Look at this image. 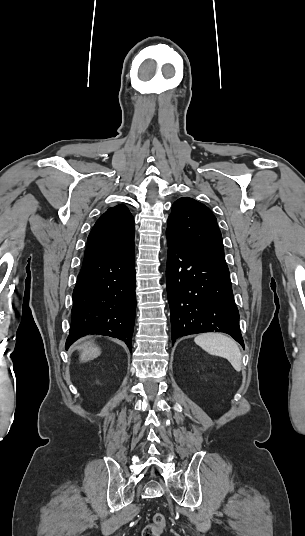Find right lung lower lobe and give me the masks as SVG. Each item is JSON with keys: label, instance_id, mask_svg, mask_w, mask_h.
<instances>
[{"label": "right lung lower lobe", "instance_id": "1", "mask_svg": "<svg viewBox=\"0 0 305 536\" xmlns=\"http://www.w3.org/2000/svg\"><path fill=\"white\" fill-rule=\"evenodd\" d=\"M134 249L83 263L73 291L72 322L66 349L87 334L123 340L131 350L134 329Z\"/></svg>", "mask_w": 305, "mask_h": 536}]
</instances>
